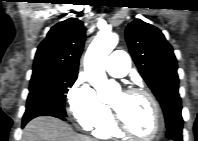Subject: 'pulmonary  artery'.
I'll use <instances>...</instances> for the list:
<instances>
[{
    "label": "pulmonary artery",
    "mask_w": 198,
    "mask_h": 141,
    "mask_svg": "<svg viewBox=\"0 0 198 141\" xmlns=\"http://www.w3.org/2000/svg\"><path fill=\"white\" fill-rule=\"evenodd\" d=\"M105 67L109 74L123 77L130 69L129 55L123 50H115L108 56Z\"/></svg>",
    "instance_id": "obj_1"
}]
</instances>
